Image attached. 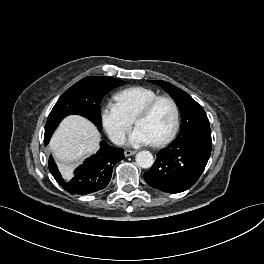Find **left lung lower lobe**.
Returning a JSON list of instances; mask_svg holds the SVG:
<instances>
[{"instance_id": "obj_1", "label": "left lung lower lobe", "mask_w": 264, "mask_h": 264, "mask_svg": "<svg viewBox=\"0 0 264 264\" xmlns=\"http://www.w3.org/2000/svg\"><path fill=\"white\" fill-rule=\"evenodd\" d=\"M211 130L200 129L176 138L162 149L151 169L144 173L153 188L180 193L192 187L201 176L211 154Z\"/></svg>"}]
</instances>
